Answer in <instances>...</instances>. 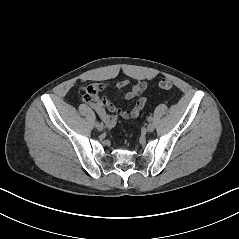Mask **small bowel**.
I'll return each mask as SVG.
<instances>
[{
    "mask_svg": "<svg viewBox=\"0 0 239 239\" xmlns=\"http://www.w3.org/2000/svg\"><path fill=\"white\" fill-rule=\"evenodd\" d=\"M92 88L93 92H84V101L88 103L102 118V120L109 126L115 127L117 125V117L120 116L124 119L137 118L146 103V97L143 92L146 89L145 83H131L129 81H123L116 85L117 88L128 87L125 97L126 99H135V105L132 109H122L116 106L108 99L107 92L103 91L102 85H91L88 88ZM102 91V95H98ZM107 109L110 113H106Z\"/></svg>",
    "mask_w": 239,
    "mask_h": 239,
    "instance_id": "1",
    "label": "small bowel"
}]
</instances>
